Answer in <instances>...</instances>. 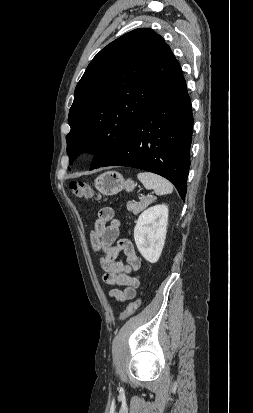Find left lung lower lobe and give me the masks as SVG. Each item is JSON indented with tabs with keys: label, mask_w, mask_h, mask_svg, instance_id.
<instances>
[{
	"label": "left lung lower lobe",
	"mask_w": 253,
	"mask_h": 413,
	"mask_svg": "<svg viewBox=\"0 0 253 413\" xmlns=\"http://www.w3.org/2000/svg\"><path fill=\"white\" fill-rule=\"evenodd\" d=\"M193 116L179 63L122 146L100 167L128 166L159 174L186 195Z\"/></svg>",
	"instance_id": "obj_1"
}]
</instances>
